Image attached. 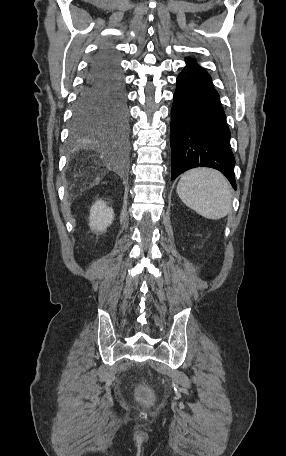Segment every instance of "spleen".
I'll list each match as a JSON object with an SVG mask.
<instances>
[{
  "instance_id": "1",
  "label": "spleen",
  "mask_w": 286,
  "mask_h": 456,
  "mask_svg": "<svg viewBox=\"0 0 286 456\" xmlns=\"http://www.w3.org/2000/svg\"><path fill=\"white\" fill-rule=\"evenodd\" d=\"M177 193L187 207L207 219H221L232 209L231 185L214 169L187 171L179 180Z\"/></svg>"
}]
</instances>
